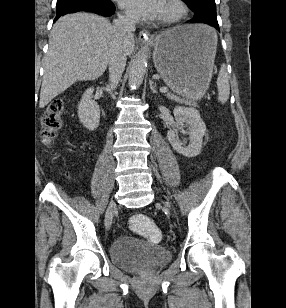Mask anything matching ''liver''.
Segmentation results:
<instances>
[{"label": "liver", "mask_w": 286, "mask_h": 308, "mask_svg": "<svg viewBox=\"0 0 286 308\" xmlns=\"http://www.w3.org/2000/svg\"><path fill=\"white\" fill-rule=\"evenodd\" d=\"M118 40V32L104 17L84 12L60 17L49 37L39 107L44 108L77 81L99 78ZM122 45L126 55H131L134 37L124 39Z\"/></svg>", "instance_id": "liver-1"}]
</instances>
